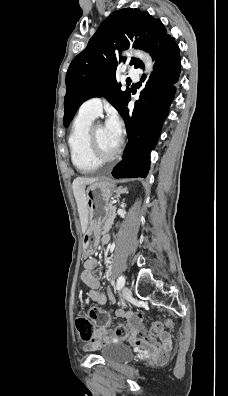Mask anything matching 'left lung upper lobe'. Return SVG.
Returning a JSON list of instances; mask_svg holds the SVG:
<instances>
[{
    "label": "left lung upper lobe",
    "instance_id": "obj_1",
    "mask_svg": "<svg viewBox=\"0 0 228 396\" xmlns=\"http://www.w3.org/2000/svg\"><path fill=\"white\" fill-rule=\"evenodd\" d=\"M167 31L159 19L148 12L126 8L113 12L101 23L90 38L86 48L71 62L66 74L64 98V126L67 127L79 106L92 97H104L121 114L130 91H121L115 78L118 62L115 50L128 49L130 45L147 51L150 43ZM130 65L141 68L143 63L132 58Z\"/></svg>",
    "mask_w": 228,
    "mask_h": 396
}]
</instances>
